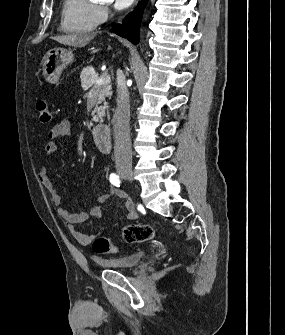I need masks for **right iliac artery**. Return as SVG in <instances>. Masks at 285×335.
Returning a JSON list of instances; mask_svg holds the SVG:
<instances>
[{
    "label": "right iliac artery",
    "mask_w": 285,
    "mask_h": 335,
    "mask_svg": "<svg viewBox=\"0 0 285 335\" xmlns=\"http://www.w3.org/2000/svg\"><path fill=\"white\" fill-rule=\"evenodd\" d=\"M110 182H111L113 185L119 187V186H120L119 176L116 175V174H114V173H112V174L110 175Z\"/></svg>",
    "instance_id": "82829eb1"
}]
</instances>
